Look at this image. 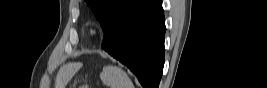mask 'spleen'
<instances>
[{"label":"spleen","mask_w":267,"mask_h":88,"mask_svg":"<svg viewBox=\"0 0 267 88\" xmlns=\"http://www.w3.org/2000/svg\"><path fill=\"white\" fill-rule=\"evenodd\" d=\"M100 77L109 88H135L127 73L117 66L103 67Z\"/></svg>","instance_id":"obj_1"}]
</instances>
